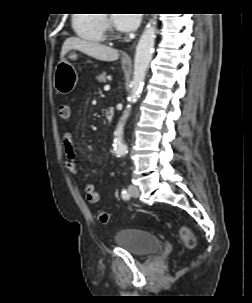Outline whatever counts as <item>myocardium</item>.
Listing matches in <instances>:
<instances>
[{"mask_svg":"<svg viewBox=\"0 0 252 303\" xmlns=\"http://www.w3.org/2000/svg\"><path fill=\"white\" fill-rule=\"evenodd\" d=\"M105 19H106V23L108 24V18H107V15H105Z\"/></svg>","mask_w":252,"mask_h":303,"instance_id":"f54148a6","label":"myocardium"}]
</instances>
